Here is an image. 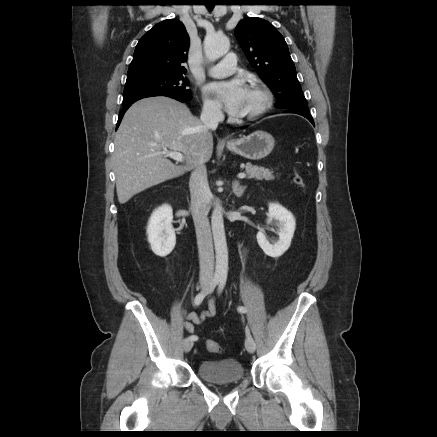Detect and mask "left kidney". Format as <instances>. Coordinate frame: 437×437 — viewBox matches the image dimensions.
<instances>
[{"label": "left kidney", "instance_id": "5707ae66", "mask_svg": "<svg viewBox=\"0 0 437 437\" xmlns=\"http://www.w3.org/2000/svg\"><path fill=\"white\" fill-rule=\"evenodd\" d=\"M267 223L277 228L276 233L279 239L270 243L264 230L257 233V242L264 253L270 257L277 258L283 255L291 245L295 231V218L293 214L278 203H270ZM274 231V229H271Z\"/></svg>", "mask_w": 437, "mask_h": 437}]
</instances>
